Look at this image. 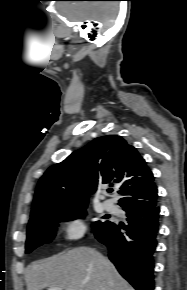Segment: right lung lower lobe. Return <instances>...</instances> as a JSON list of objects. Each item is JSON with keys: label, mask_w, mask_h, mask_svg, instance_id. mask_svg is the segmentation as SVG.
Segmentation results:
<instances>
[{"label": "right lung lower lobe", "mask_w": 187, "mask_h": 290, "mask_svg": "<svg viewBox=\"0 0 187 290\" xmlns=\"http://www.w3.org/2000/svg\"><path fill=\"white\" fill-rule=\"evenodd\" d=\"M123 209L127 213L128 226L110 222L96 231L95 236L108 247L109 259L136 290H154V254L160 212L157 200Z\"/></svg>", "instance_id": "right-lung-lower-lobe-1"}]
</instances>
